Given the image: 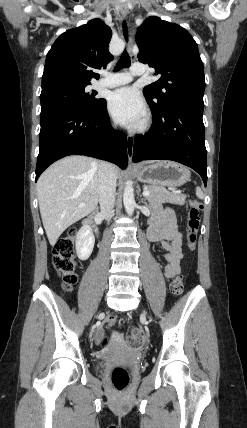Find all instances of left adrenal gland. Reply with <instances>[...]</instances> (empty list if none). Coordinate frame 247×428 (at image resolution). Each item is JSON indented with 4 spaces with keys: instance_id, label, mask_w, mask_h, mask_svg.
<instances>
[{
    "instance_id": "1",
    "label": "left adrenal gland",
    "mask_w": 247,
    "mask_h": 428,
    "mask_svg": "<svg viewBox=\"0 0 247 428\" xmlns=\"http://www.w3.org/2000/svg\"><path fill=\"white\" fill-rule=\"evenodd\" d=\"M140 197H141L142 203L147 204L146 200L142 197V195Z\"/></svg>"
}]
</instances>
